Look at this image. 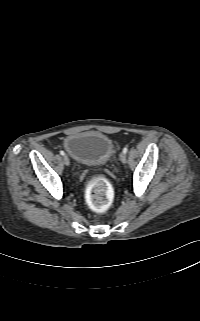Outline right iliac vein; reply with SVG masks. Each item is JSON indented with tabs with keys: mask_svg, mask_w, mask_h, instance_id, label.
<instances>
[{
	"mask_svg": "<svg viewBox=\"0 0 200 321\" xmlns=\"http://www.w3.org/2000/svg\"><path fill=\"white\" fill-rule=\"evenodd\" d=\"M63 162L65 165H69L70 163L69 158L66 155L63 157Z\"/></svg>",
	"mask_w": 200,
	"mask_h": 321,
	"instance_id": "1",
	"label": "right iliac vein"
}]
</instances>
